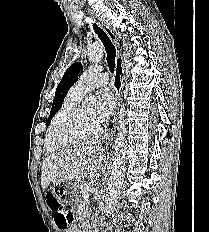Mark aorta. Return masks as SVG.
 Here are the masks:
<instances>
[{
  "instance_id": "762f6f07",
  "label": "aorta",
  "mask_w": 209,
  "mask_h": 232,
  "mask_svg": "<svg viewBox=\"0 0 209 232\" xmlns=\"http://www.w3.org/2000/svg\"><path fill=\"white\" fill-rule=\"evenodd\" d=\"M88 58L92 63H98L103 57L102 46L94 42L87 50ZM87 105L92 104V100L86 101ZM118 112V124H117V136L115 139V152L112 159V165L110 168V177L107 184L106 194L104 196L105 210L104 214L109 216L116 204L118 195L120 193L121 186L124 180L125 166H126V153H127V128L126 121L124 119L125 111L124 105L119 104Z\"/></svg>"
}]
</instances>
